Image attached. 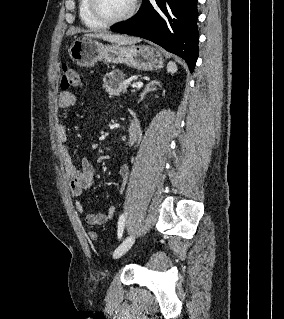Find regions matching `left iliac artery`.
I'll return each instance as SVG.
<instances>
[{
	"label": "left iliac artery",
	"mask_w": 284,
	"mask_h": 319,
	"mask_svg": "<svg viewBox=\"0 0 284 319\" xmlns=\"http://www.w3.org/2000/svg\"><path fill=\"white\" fill-rule=\"evenodd\" d=\"M125 226V213L119 217L118 221V238L121 239Z\"/></svg>",
	"instance_id": "1"
}]
</instances>
